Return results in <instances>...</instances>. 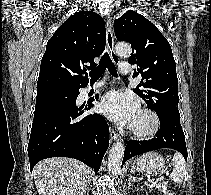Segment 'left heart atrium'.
Segmentation results:
<instances>
[{
    "instance_id": "left-heart-atrium-1",
    "label": "left heart atrium",
    "mask_w": 211,
    "mask_h": 195,
    "mask_svg": "<svg viewBox=\"0 0 211 195\" xmlns=\"http://www.w3.org/2000/svg\"><path fill=\"white\" fill-rule=\"evenodd\" d=\"M100 110L118 124L132 125L139 114V104L132 95L112 90L103 96Z\"/></svg>"
}]
</instances>
